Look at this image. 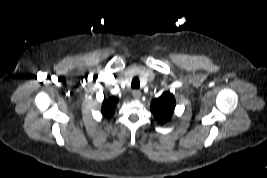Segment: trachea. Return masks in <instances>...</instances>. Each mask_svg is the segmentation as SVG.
<instances>
[{
	"label": "trachea",
	"mask_w": 267,
	"mask_h": 178,
	"mask_svg": "<svg viewBox=\"0 0 267 178\" xmlns=\"http://www.w3.org/2000/svg\"><path fill=\"white\" fill-rule=\"evenodd\" d=\"M131 86H132L133 89H138L139 88L140 82H139L138 77H134L133 78Z\"/></svg>",
	"instance_id": "trachea-1"
}]
</instances>
